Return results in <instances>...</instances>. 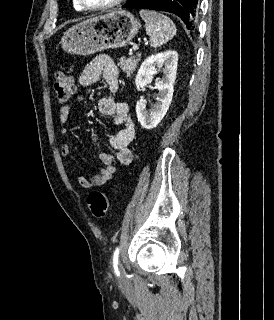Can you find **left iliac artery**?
Returning a JSON list of instances; mask_svg holds the SVG:
<instances>
[{
	"label": "left iliac artery",
	"instance_id": "44dca946",
	"mask_svg": "<svg viewBox=\"0 0 274 320\" xmlns=\"http://www.w3.org/2000/svg\"><path fill=\"white\" fill-rule=\"evenodd\" d=\"M118 263H119V248H116L113 254V266H114V271L117 276L120 275L118 271Z\"/></svg>",
	"mask_w": 274,
	"mask_h": 320
}]
</instances>
